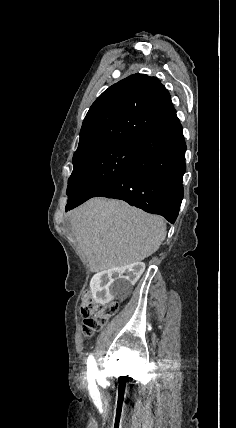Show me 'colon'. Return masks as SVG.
Here are the masks:
<instances>
[{"label":"colon","mask_w":236,"mask_h":428,"mask_svg":"<svg viewBox=\"0 0 236 428\" xmlns=\"http://www.w3.org/2000/svg\"><path fill=\"white\" fill-rule=\"evenodd\" d=\"M118 310L117 302L99 305L93 301L89 291L83 294L81 314L83 320V333L91 336L100 331L102 327L114 316Z\"/></svg>","instance_id":"1"}]
</instances>
